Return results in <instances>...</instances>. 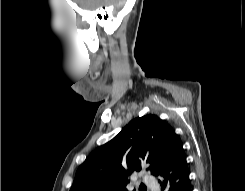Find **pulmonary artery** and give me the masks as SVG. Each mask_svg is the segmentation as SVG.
Segmentation results:
<instances>
[{"instance_id": "1", "label": "pulmonary artery", "mask_w": 245, "mask_h": 191, "mask_svg": "<svg viewBox=\"0 0 245 191\" xmlns=\"http://www.w3.org/2000/svg\"><path fill=\"white\" fill-rule=\"evenodd\" d=\"M143 183L153 191H159L158 182L151 176H144L142 179Z\"/></svg>"}]
</instances>
